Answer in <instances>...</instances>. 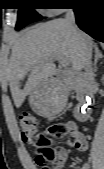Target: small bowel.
Segmentation results:
<instances>
[{"label":"small bowel","mask_w":104,"mask_h":169,"mask_svg":"<svg viewBox=\"0 0 104 169\" xmlns=\"http://www.w3.org/2000/svg\"><path fill=\"white\" fill-rule=\"evenodd\" d=\"M65 124L68 125V127L71 129V133L74 136V147L78 151H86L88 149V141L84 133H82L77 129V126L74 122H65ZM58 156L59 158L56 168L61 169L68 157L67 150L65 148H60L58 150ZM90 168L91 167L89 163H84L79 169H90Z\"/></svg>","instance_id":"obj_1"}]
</instances>
